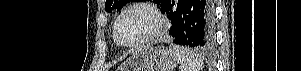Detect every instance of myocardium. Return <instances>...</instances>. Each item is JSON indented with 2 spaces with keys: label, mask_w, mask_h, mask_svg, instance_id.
I'll list each match as a JSON object with an SVG mask.
<instances>
[{
  "label": "myocardium",
  "mask_w": 301,
  "mask_h": 71,
  "mask_svg": "<svg viewBox=\"0 0 301 71\" xmlns=\"http://www.w3.org/2000/svg\"><path fill=\"white\" fill-rule=\"evenodd\" d=\"M135 9H143L145 11H147L154 19V27L152 28V30L141 40L132 43V44H126L123 43L118 35V27L120 24V21L122 20V18L130 11L135 10ZM165 19L162 15V13L152 4L147 3V2H135L129 6H127L126 8H124L120 14L117 16L114 25H113V30H112V34H113V38L114 41L116 42L117 45H119L122 48H126V49H134V48H139L143 45H146L150 42H152L154 39H156L164 30L165 28Z\"/></svg>",
  "instance_id": "obj_1"
}]
</instances>
